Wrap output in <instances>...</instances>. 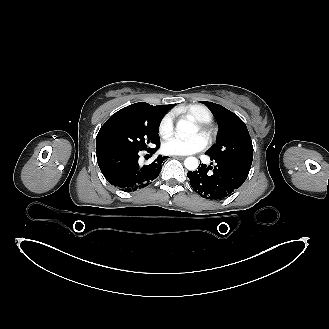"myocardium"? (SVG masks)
Wrapping results in <instances>:
<instances>
[{"label":"myocardium","instance_id":"f54148a6","mask_svg":"<svg viewBox=\"0 0 329 329\" xmlns=\"http://www.w3.org/2000/svg\"><path fill=\"white\" fill-rule=\"evenodd\" d=\"M197 128L200 134L208 141H212L214 136V130L208 125V123H198Z\"/></svg>","mask_w":329,"mask_h":329}]
</instances>
